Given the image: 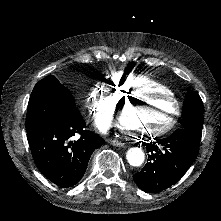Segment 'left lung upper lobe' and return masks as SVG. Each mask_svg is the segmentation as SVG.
I'll return each instance as SVG.
<instances>
[{"mask_svg":"<svg viewBox=\"0 0 221 221\" xmlns=\"http://www.w3.org/2000/svg\"><path fill=\"white\" fill-rule=\"evenodd\" d=\"M203 112V103L200 96L196 91H188L183 102L181 128L202 134Z\"/></svg>","mask_w":221,"mask_h":221,"instance_id":"obj_1","label":"left lung upper lobe"}]
</instances>
